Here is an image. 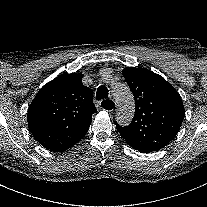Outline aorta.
Masks as SVG:
<instances>
[{
	"label": "aorta",
	"mask_w": 207,
	"mask_h": 207,
	"mask_svg": "<svg viewBox=\"0 0 207 207\" xmlns=\"http://www.w3.org/2000/svg\"><path fill=\"white\" fill-rule=\"evenodd\" d=\"M112 94L117 105V122L122 126L129 125L135 111L134 99L129 87L124 83H113Z\"/></svg>",
	"instance_id": "obj_1"
}]
</instances>
